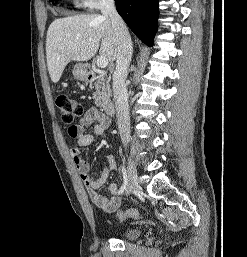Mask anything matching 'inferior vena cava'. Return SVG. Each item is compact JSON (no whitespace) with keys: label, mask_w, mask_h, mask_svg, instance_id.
I'll use <instances>...</instances> for the list:
<instances>
[{"label":"inferior vena cava","mask_w":247,"mask_h":257,"mask_svg":"<svg viewBox=\"0 0 247 257\" xmlns=\"http://www.w3.org/2000/svg\"><path fill=\"white\" fill-rule=\"evenodd\" d=\"M101 12L104 16L110 17L118 44L116 68L113 74V94L119 134L122 143L126 146L130 142V117L125 80L133 46L128 29L116 11L114 0H101Z\"/></svg>","instance_id":"602c4592"}]
</instances>
